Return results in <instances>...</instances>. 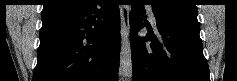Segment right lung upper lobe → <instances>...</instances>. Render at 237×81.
Masks as SVG:
<instances>
[{
    "instance_id": "obj_1",
    "label": "right lung upper lobe",
    "mask_w": 237,
    "mask_h": 81,
    "mask_svg": "<svg viewBox=\"0 0 237 81\" xmlns=\"http://www.w3.org/2000/svg\"><path fill=\"white\" fill-rule=\"evenodd\" d=\"M88 0H45L42 18L68 13L82 8Z\"/></svg>"
}]
</instances>
